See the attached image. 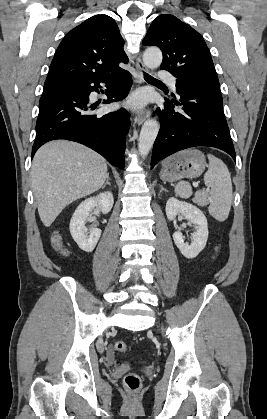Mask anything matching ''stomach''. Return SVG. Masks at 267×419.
Here are the masks:
<instances>
[{
	"label": "stomach",
	"mask_w": 267,
	"mask_h": 419,
	"mask_svg": "<svg viewBox=\"0 0 267 419\" xmlns=\"http://www.w3.org/2000/svg\"><path fill=\"white\" fill-rule=\"evenodd\" d=\"M206 166L205 155L200 150H183L164 161L160 178L168 182H175L183 178H196L204 172Z\"/></svg>",
	"instance_id": "stomach-1"
}]
</instances>
